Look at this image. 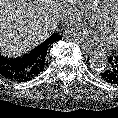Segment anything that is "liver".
<instances>
[{"instance_id": "1", "label": "liver", "mask_w": 118, "mask_h": 118, "mask_svg": "<svg viewBox=\"0 0 118 118\" xmlns=\"http://www.w3.org/2000/svg\"><path fill=\"white\" fill-rule=\"evenodd\" d=\"M56 0H0V52L20 56L57 28Z\"/></svg>"}]
</instances>
